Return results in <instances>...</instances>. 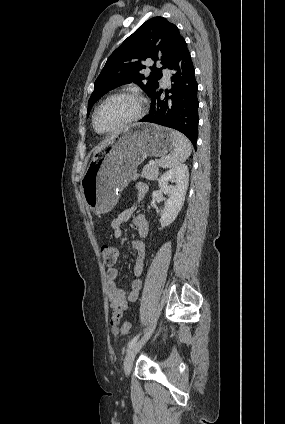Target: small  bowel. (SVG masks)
Masks as SVG:
<instances>
[{
	"label": "small bowel",
	"instance_id": "small-bowel-1",
	"mask_svg": "<svg viewBox=\"0 0 285 424\" xmlns=\"http://www.w3.org/2000/svg\"><path fill=\"white\" fill-rule=\"evenodd\" d=\"M148 188L145 184H138L136 186V193L138 200L144 198L147 194ZM136 206H130L122 210L113 220L111 221V228L116 239L124 237L123 224L127 222L133 215ZM133 225L135 226L139 237L144 238L149 232V225L146 217L143 214H138L133 217ZM131 246L135 251V263L133 266L132 274L134 280L131 283V289L128 295L125 291L117 285L118 270L116 268H109L107 270V297L111 304L113 311L115 312L114 317L111 320V326L114 333H118L120 328V317L123 311L128 309L131 302H135L142 289V274L144 270V261L146 257L145 243L140 239H134L131 241Z\"/></svg>",
	"mask_w": 285,
	"mask_h": 424
}]
</instances>
